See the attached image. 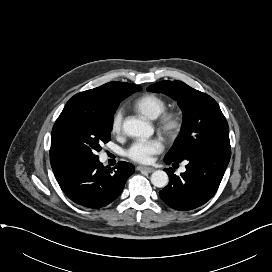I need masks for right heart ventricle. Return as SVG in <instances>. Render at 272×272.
<instances>
[{"mask_svg":"<svg viewBox=\"0 0 272 272\" xmlns=\"http://www.w3.org/2000/svg\"><path fill=\"white\" fill-rule=\"evenodd\" d=\"M134 108L141 115L153 120L165 111L166 102L158 95L145 94L136 100Z\"/></svg>","mask_w":272,"mask_h":272,"instance_id":"right-heart-ventricle-1","label":"right heart ventricle"}]
</instances>
